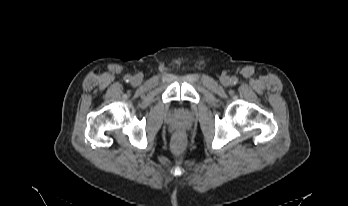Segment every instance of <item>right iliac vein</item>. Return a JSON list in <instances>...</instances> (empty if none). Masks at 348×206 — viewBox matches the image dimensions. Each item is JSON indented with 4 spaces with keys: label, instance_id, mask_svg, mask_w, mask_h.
Returning <instances> with one entry per match:
<instances>
[{
    "label": "right iliac vein",
    "instance_id": "63e3f726",
    "mask_svg": "<svg viewBox=\"0 0 348 206\" xmlns=\"http://www.w3.org/2000/svg\"><path fill=\"white\" fill-rule=\"evenodd\" d=\"M142 79L139 77V76H135L133 79H132V84L137 86L141 83Z\"/></svg>",
    "mask_w": 348,
    "mask_h": 206
}]
</instances>
